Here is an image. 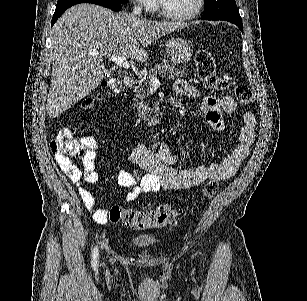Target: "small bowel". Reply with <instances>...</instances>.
<instances>
[{
	"label": "small bowel",
	"instance_id": "obj_1",
	"mask_svg": "<svg viewBox=\"0 0 307 301\" xmlns=\"http://www.w3.org/2000/svg\"><path fill=\"white\" fill-rule=\"evenodd\" d=\"M174 92L178 95L198 97L199 90L184 80L174 84ZM202 112L208 124L218 132L225 129L223 115H231L237 109V104L231 96H207L202 102ZM244 126L237 131V145L222 161L194 169H175L170 166L168 148L158 143L153 147L137 145L129 155L134 165L130 169H121L118 173L120 186L128 188L127 201H133L142 193H155L159 190H186L199 186L207 179L222 181L233 177L242 161L247 158L255 140L256 117L252 112L243 116ZM85 146L83 157L84 182L96 183L99 179L95 159L97 141L93 136L82 137ZM55 160L61 171L78 187L81 201L99 224H106L108 211L96 206L92 193L82 181V173L64 154L55 153ZM139 170L145 173L141 174Z\"/></svg>",
	"mask_w": 307,
	"mask_h": 301
}]
</instances>
